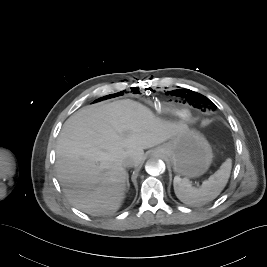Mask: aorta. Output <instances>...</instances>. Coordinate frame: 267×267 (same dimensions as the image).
<instances>
[{
	"mask_svg": "<svg viewBox=\"0 0 267 267\" xmlns=\"http://www.w3.org/2000/svg\"><path fill=\"white\" fill-rule=\"evenodd\" d=\"M165 163L157 157H153L146 162L145 170L149 175L158 176L165 171Z\"/></svg>",
	"mask_w": 267,
	"mask_h": 267,
	"instance_id": "obj_1",
	"label": "aorta"
}]
</instances>
